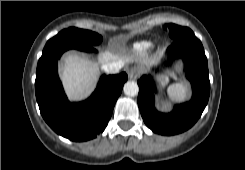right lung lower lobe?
<instances>
[{"instance_id": "98d812e1", "label": "right lung lower lobe", "mask_w": 245, "mask_h": 170, "mask_svg": "<svg viewBox=\"0 0 245 170\" xmlns=\"http://www.w3.org/2000/svg\"><path fill=\"white\" fill-rule=\"evenodd\" d=\"M68 49L71 48L57 50L39 60L35 81L36 99L42 117L57 134L72 141H87L104 131L128 76L125 72L103 75L90 98L80 103H71L57 73L58 59ZM77 49L95 51L93 47Z\"/></svg>"}]
</instances>
